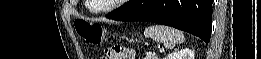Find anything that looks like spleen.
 <instances>
[{
    "mask_svg": "<svg viewBox=\"0 0 261 59\" xmlns=\"http://www.w3.org/2000/svg\"><path fill=\"white\" fill-rule=\"evenodd\" d=\"M144 35L153 41L162 42L169 49L183 43L185 38L180 30L162 25H153L145 29Z\"/></svg>",
    "mask_w": 261,
    "mask_h": 59,
    "instance_id": "1",
    "label": "spleen"
}]
</instances>
